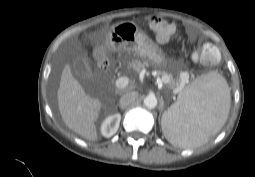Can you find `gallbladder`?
<instances>
[{
    "label": "gallbladder",
    "instance_id": "1",
    "mask_svg": "<svg viewBox=\"0 0 255 177\" xmlns=\"http://www.w3.org/2000/svg\"><path fill=\"white\" fill-rule=\"evenodd\" d=\"M72 72L82 79H92V72L88 64L86 53L80 51L75 54L70 63Z\"/></svg>",
    "mask_w": 255,
    "mask_h": 177
}]
</instances>
